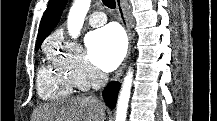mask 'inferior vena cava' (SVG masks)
<instances>
[{
  "mask_svg": "<svg viewBox=\"0 0 217 121\" xmlns=\"http://www.w3.org/2000/svg\"><path fill=\"white\" fill-rule=\"evenodd\" d=\"M107 81H108V77L106 74L97 73L93 79V82H92L93 89L97 90V89L104 87L106 85ZM92 98H94V97H92Z\"/></svg>",
  "mask_w": 217,
  "mask_h": 121,
  "instance_id": "1",
  "label": "inferior vena cava"
}]
</instances>
